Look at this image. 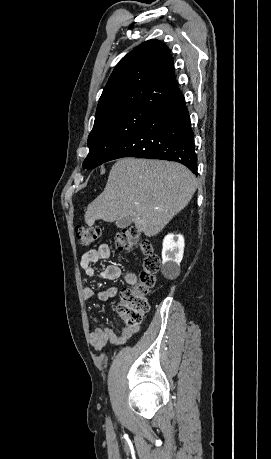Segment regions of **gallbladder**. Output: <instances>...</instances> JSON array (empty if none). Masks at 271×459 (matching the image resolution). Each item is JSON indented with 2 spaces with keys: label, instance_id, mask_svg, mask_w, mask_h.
<instances>
[{
  "label": "gallbladder",
  "instance_id": "bac80fb5",
  "mask_svg": "<svg viewBox=\"0 0 271 459\" xmlns=\"http://www.w3.org/2000/svg\"><path fill=\"white\" fill-rule=\"evenodd\" d=\"M132 224V220H129V218H122V220H117L116 226L117 228H128Z\"/></svg>",
  "mask_w": 271,
  "mask_h": 459
}]
</instances>
